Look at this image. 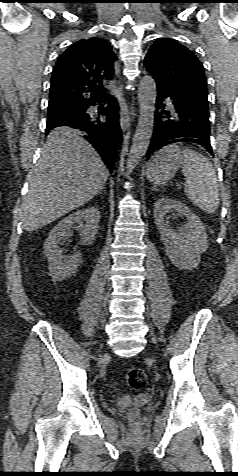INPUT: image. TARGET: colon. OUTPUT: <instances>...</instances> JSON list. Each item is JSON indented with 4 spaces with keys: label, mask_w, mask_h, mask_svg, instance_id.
I'll return each instance as SVG.
<instances>
[{
    "label": "colon",
    "mask_w": 238,
    "mask_h": 476,
    "mask_svg": "<svg viewBox=\"0 0 238 476\" xmlns=\"http://www.w3.org/2000/svg\"><path fill=\"white\" fill-rule=\"evenodd\" d=\"M124 380L126 385L132 389H140L144 387L147 383V374L146 372L138 367L130 368L126 371L124 375ZM130 418L132 420H137L139 415V410L137 408H131L129 410Z\"/></svg>",
    "instance_id": "obj_1"
}]
</instances>
